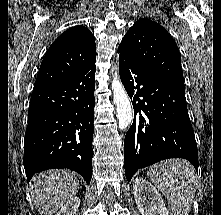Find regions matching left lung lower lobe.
Instances as JSON below:
<instances>
[{"label":"left lung lower lobe","instance_id":"0a47b994","mask_svg":"<svg viewBox=\"0 0 221 215\" xmlns=\"http://www.w3.org/2000/svg\"><path fill=\"white\" fill-rule=\"evenodd\" d=\"M119 73L135 116L124 140L128 182L138 169L168 158L187 159L198 170L185 89L143 70L121 53Z\"/></svg>","mask_w":221,"mask_h":215}]
</instances>
